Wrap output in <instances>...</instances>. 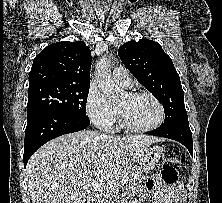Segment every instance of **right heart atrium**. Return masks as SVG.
I'll return each mask as SVG.
<instances>
[{"instance_id":"right-heart-atrium-1","label":"right heart atrium","mask_w":222,"mask_h":203,"mask_svg":"<svg viewBox=\"0 0 222 203\" xmlns=\"http://www.w3.org/2000/svg\"><path fill=\"white\" fill-rule=\"evenodd\" d=\"M86 110L91 121L104 130L110 129L117 118L115 105L95 88L90 89L88 93Z\"/></svg>"}]
</instances>
